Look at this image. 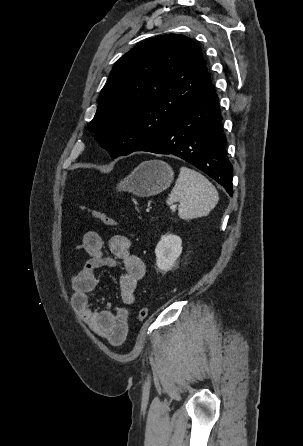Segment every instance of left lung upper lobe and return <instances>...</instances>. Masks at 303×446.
I'll use <instances>...</instances> for the list:
<instances>
[{"mask_svg":"<svg viewBox=\"0 0 303 446\" xmlns=\"http://www.w3.org/2000/svg\"><path fill=\"white\" fill-rule=\"evenodd\" d=\"M211 83L201 48L167 34L146 40L113 66L88 130L113 158L163 135Z\"/></svg>","mask_w":303,"mask_h":446,"instance_id":"1","label":"left lung upper lobe"}]
</instances>
